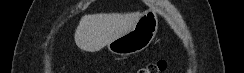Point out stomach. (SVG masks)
<instances>
[{"mask_svg": "<svg viewBox=\"0 0 244 73\" xmlns=\"http://www.w3.org/2000/svg\"><path fill=\"white\" fill-rule=\"evenodd\" d=\"M158 18L154 11L144 12L130 31L113 39L107 44L108 50L115 55L129 56L146 49L156 36Z\"/></svg>", "mask_w": 244, "mask_h": 73, "instance_id": "stomach-1", "label": "stomach"}]
</instances>
